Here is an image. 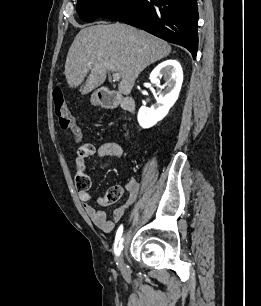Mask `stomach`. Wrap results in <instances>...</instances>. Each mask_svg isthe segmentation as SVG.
<instances>
[{
	"label": "stomach",
	"mask_w": 261,
	"mask_h": 306,
	"mask_svg": "<svg viewBox=\"0 0 261 306\" xmlns=\"http://www.w3.org/2000/svg\"><path fill=\"white\" fill-rule=\"evenodd\" d=\"M91 102L94 104V105H97L99 103V98H98V95L97 93H94L91 97Z\"/></svg>",
	"instance_id": "stomach-1"
}]
</instances>
